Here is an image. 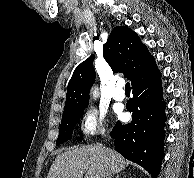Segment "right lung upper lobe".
<instances>
[{"label": "right lung upper lobe", "instance_id": "obj_1", "mask_svg": "<svg viewBox=\"0 0 194 178\" xmlns=\"http://www.w3.org/2000/svg\"><path fill=\"white\" fill-rule=\"evenodd\" d=\"M103 56L114 72L124 73L132 87L158 72L154 58L138 35L124 26L112 30L103 46ZM94 58L90 56L74 70L67 87L64 113L88 105L89 91L96 76Z\"/></svg>", "mask_w": 194, "mask_h": 178}]
</instances>
